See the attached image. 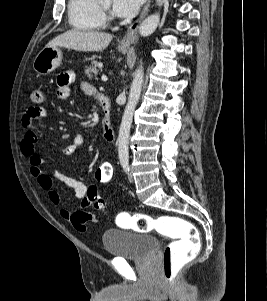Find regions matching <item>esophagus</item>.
<instances>
[{"label":"esophagus","mask_w":267,"mask_h":301,"mask_svg":"<svg viewBox=\"0 0 267 301\" xmlns=\"http://www.w3.org/2000/svg\"><path fill=\"white\" fill-rule=\"evenodd\" d=\"M150 2L151 0H147V3L145 4L138 19L128 28L126 34L119 43L121 47H130L132 44L138 41V27L142 20L145 18V16L148 14Z\"/></svg>","instance_id":"obj_1"}]
</instances>
